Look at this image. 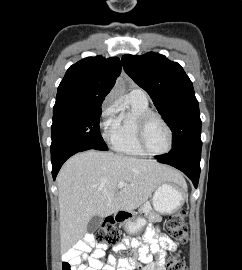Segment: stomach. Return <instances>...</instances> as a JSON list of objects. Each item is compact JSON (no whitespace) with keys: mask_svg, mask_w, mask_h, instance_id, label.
<instances>
[{"mask_svg":"<svg viewBox=\"0 0 242 270\" xmlns=\"http://www.w3.org/2000/svg\"><path fill=\"white\" fill-rule=\"evenodd\" d=\"M186 185L175 182H164L159 185L153 195L152 204L154 209L161 214H172L180 209L185 201ZM125 227L128 233L135 234L141 231L146 221L144 218L132 220L127 218Z\"/></svg>","mask_w":242,"mask_h":270,"instance_id":"obj_1","label":"stomach"}]
</instances>
